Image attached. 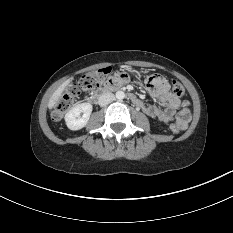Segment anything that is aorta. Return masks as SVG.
<instances>
[{
    "label": "aorta",
    "mask_w": 233,
    "mask_h": 233,
    "mask_svg": "<svg viewBox=\"0 0 233 233\" xmlns=\"http://www.w3.org/2000/svg\"><path fill=\"white\" fill-rule=\"evenodd\" d=\"M116 98L118 100H123L125 98V93L123 91H117L116 92Z\"/></svg>",
    "instance_id": "obj_1"
}]
</instances>
